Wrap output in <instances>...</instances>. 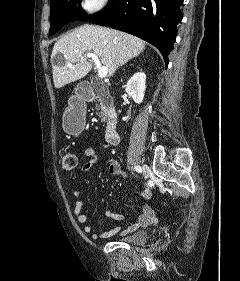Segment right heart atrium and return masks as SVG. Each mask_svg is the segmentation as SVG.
Returning <instances> with one entry per match:
<instances>
[{
    "label": "right heart atrium",
    "instance_id": "right-heart-atrium-1",
    "mask_svg": "<svg viewBox=\"0 0 240 281\" xmlns=\"http://www.w3.org/2000/svg\"><path fill=\"white\" fill-rule=\"evenodd\" d=\"M108 5V0H81V9L87 15L102 12Z\"/></svg>",
    "mask_w": 240,
    "mask_h": 281
}]
</instances>
